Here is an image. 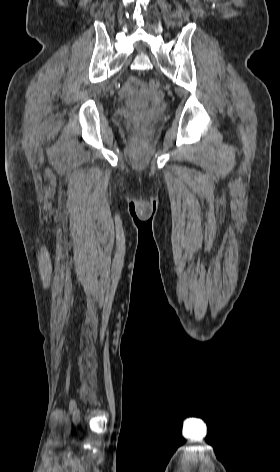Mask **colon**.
<instances>
[{
	"mask_svg": "<svg viewBox=\"0 0 280 472\" xmlns=\"http://www.w3.org/2000/svg\"><path fill=\"white\" fill-rule=\"evenodd\" d=\"M148 89L150 91H157L158 90V82L156 80H150L148 82Z\"/></svg>",
	"mask_w": 280,
	"mask_h": 472,
	"instance_id": "5ec220e1",
	"label": "colon"
}]
</instances>
